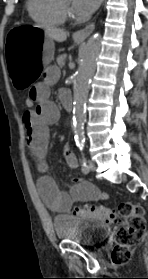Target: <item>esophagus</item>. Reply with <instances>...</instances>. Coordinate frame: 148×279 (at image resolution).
<instances>
[{
	"mask_svg": "<svg viewBox=\"0 0 148 279\" xmlns=\"http://www.w3.org/2000/svg\"><path fill=\"white\" fill-rule=\"evenodd\" d=\"M94 29H95V23H90L86 27H84L83 29H80V30L76 31L73 34V37L76 40L83 41L93 32Z\"/></svg>",
	"mask_w": 148,
	"mask_h": 279,
	"instance_id": "34e87169",
	"label": "esophagus"
}]
</instances>
